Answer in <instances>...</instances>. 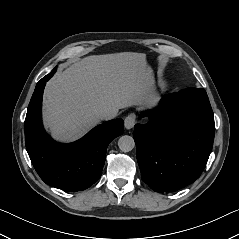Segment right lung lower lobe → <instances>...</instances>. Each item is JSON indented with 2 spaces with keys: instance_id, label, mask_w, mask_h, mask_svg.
Listing matches in <instances>:
<instances>
[{
  "instance_id": "right-lung-lower-lobe-1",
  "label": "right lung lower lobe",
  "mask_w": 239,
  "mask_h": 239,
  "mask_svg": "<svg viewBox=\"0 0 239 239\" xmlns=\"http://www.w3.org/2000/svg\"><path fill=\"white\" fill-rule=\"evenodd\" d=\"M52 76L49 73L37 83L29 103L25 119L26 150L46 184L72 192L85 190L100 178L108 144L123 134V120L105 122L74 143L55 142L44 131L41 119L43 90Z\"/></svg>"
}]
</instances>
